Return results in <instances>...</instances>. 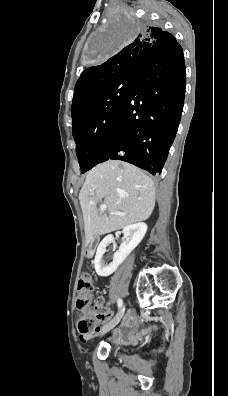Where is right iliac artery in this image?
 Here are the masks:
<instances>
[{"instance_id": "82829eb1", "label": "right iliac artery", "mask_w": 228, "mask_h": 396, "mask_svg": "<svg viewBox=\"0 0 228 396\" xmlns=\"http://www.w3.org/2000/svg\"><path fill=\"white\" fill-rule=\"evenodd\" d=\"M122 304H123V301H122L121 298H119L118 301H117V305H118L119 309L122 307Z\"/></svg>"}]
</instances>
